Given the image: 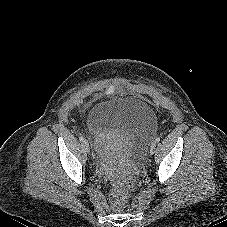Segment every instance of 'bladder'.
Returning <instances> with one entry per match:
<instances>
[{
  "label": "bladder",
  "mask_w": 227,
  "mask_h": 227,
  "mask_svg": "<svg viewBox=\"0 0 227 227\" xmlns=\"http://www.w3.org/2000/svg\"><path fill=\"white\" fill-rule=\"evenodd\" d=\"M86 129L92 137L115 133L123 139L121 150L128 156L143 151L157 129L155 113L136 99L109 100L92 106L86 115Z\"/></svg>",
  "instance_id": "bladder-1"
}]
</instances>
